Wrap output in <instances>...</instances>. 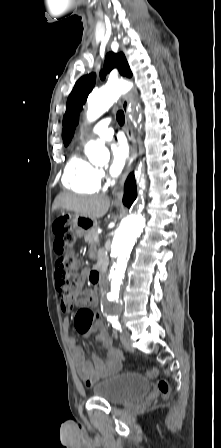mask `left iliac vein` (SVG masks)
<instances>
[{
    "label": "left iliac vein",
    "mask_w": 221,
    "mask_h": 448,
    "mask_svg": "<svg viewBox=\"0 0 221 448\" xmlns=\"http://www.w3.org/2000/svg\"><path fill=\"white\" fill-rule=\"evenodd\" d=\"M121 342L123 344V346L128 350V351H133L134 348L132 346V342L130 339V333L128 331H124L121 335Z\"/></svg>",
    "instance_id": "left-iliac-vein-1"
}]
</instances>
